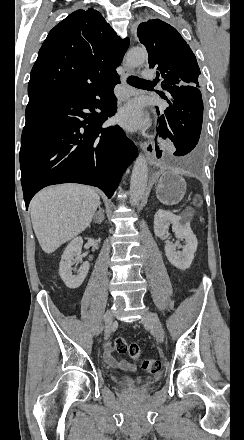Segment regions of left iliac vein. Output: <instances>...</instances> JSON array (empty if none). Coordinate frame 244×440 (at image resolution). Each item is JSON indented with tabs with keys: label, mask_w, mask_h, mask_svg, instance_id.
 <instances>
[{
	"label": "left iliac vein",
	"mask_w": 244,
	"mask_h": 440,
	"mask_svg": "<svg viewBox=\"0 0 244 440\" xmlns=\"http://www.w3.org/2000/svg\"><path fill=\"white\" fill-rule=\"evenodd\" d=\"M142 323L143 324H148L149 326H151V328L155 331L156 333V338L159 342H163L164 340V331L162 328V325L159 321V318L156 314L150 312V311H145L143 318H142Z\"/></svg>",
	"instance_id": "1"
}]
</instances>
